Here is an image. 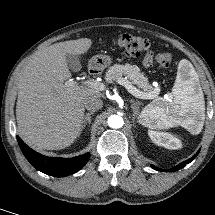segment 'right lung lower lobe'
I'll use <instances>...</instances> for the list:
<instances>
[{
  "label": "right lung lower lobe",
  "instance_id": "right-lung-lower-lobe-1",
  "mask_svg": "<svg viewBox=\"0 0 215 215\" xmlns=\"http://www.w3.org/2000/svg\"><path fill=\"white\" fill-rule=\"evenodd\" d=\"M17 140L24 156L37 170L55 177H64L77 172L90 158L89 153L73 158L47 157L29 148L19 136Z\"/></svg>",
  "mask_w": 215,
  "mask_h": 215
}]
</instances>
